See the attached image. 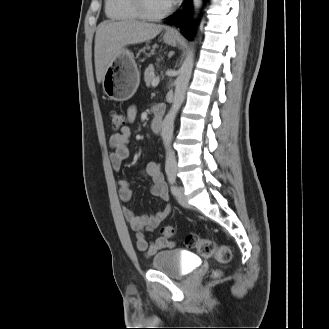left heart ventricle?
Masks as SVG:
<instances>
[{
	"label": "left heart ventricle",
	"instance_id": "1",
	"mask_svg": "<svg viewBox=\"0 0 329 329\" xmlns=\"http://www.w3.org/2000/svg\"><path fill=\"white\" fill-rule=\"evenodd\" d=\"M146 6L152 13H160L169 7L166 0H145Z\"/></svg>",
	"mask_w": 329,
	"mask_h": 329
}]
</instances>
